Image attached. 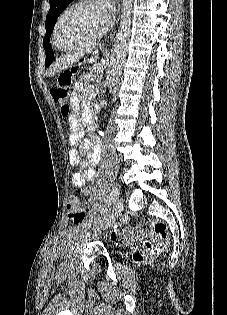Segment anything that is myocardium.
<instances>
[{
	"mask_svg": "<svg viewBox=\"0 0 227 315\" xmlns=\"http://www.w3.org/2000/svg\"><path fill=\"white\" fill-rule=\"evenodd\" d=\"M90 4H98V0H77L74 3L70 4L68 7H66L58 16L53 31H52V37H51V42L52 45L54 46L55 49L59 50V51H70L76 48H80L83 47L91 42H94L96 40H98L107 30L110 20H107L106 23L104 24V26L101 28V30L96 33L95 35H93L92 37L88 38L87 40H84L78 44L75 45H71V46H67V47H60L57 45L56 43V35H57V31H58V27L62 21V19L64 18V16L71 11L72 9L79 7V6H83V5H90Z\"/></svg>",
	"mask_w": 227,
	"mask_h": 315,
	"instance_id": "obj_1",
	"label": "myocardium"
}]
</instances>
